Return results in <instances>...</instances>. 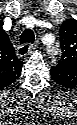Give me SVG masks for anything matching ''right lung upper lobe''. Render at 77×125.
Segmentation results:
<instances>
[{
	"instance_id": "right-lung-upper-lobe-1",
	"label": "right lung upper lobe",
	"mask_w": 77,
	"mask_h": 125,
	"mask_svg": "<svg viewBox=\"0 0 77 125\" xmlns=\"http://www.w3.org/2000/svg\"><path fill=\"white\" fill-rule=\"evenodd\" d=\"M23 62L17 58L12 43L4 30L0 31V86L6 87L21 73Z\"/></svg>"
}]
</instances>
